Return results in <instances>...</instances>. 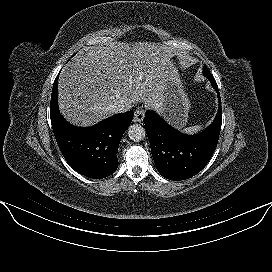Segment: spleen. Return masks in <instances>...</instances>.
I'll list each match as a JSON object with an SVG mask.
<instances>
[{"mask_svg":"<svg viewBox=\"0 0 272 272\" xmlns=\"http://www.w3.org/2000/svg\"><path fill=\"white\" fill-rule=\"evenodd\" d=\"M202 128H203V126L196 125V126L185 128L182 131L187 134H195V133L199 132Z\"/></svg>","mask_w":272,"mask_h":272,"instance_id":"obj_1","label":"spleen"}]
</instances>
